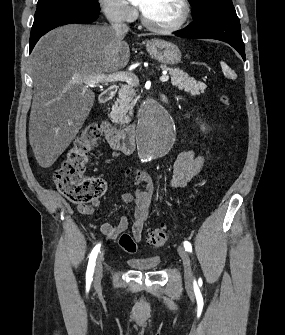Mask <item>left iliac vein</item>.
<instances>
[{
	"instance_id": "4c4485c4",
	"label": "left iliac vein",
	"mask_w": 285,
	"mask_h": 335,
	"mask_svg": "<svg viewBox=\"0 0 285 335\" xmlns=\"http://www.w3.org/2000/svg\"><path fill=\"white\" fill-rule=\"evenodd\" d=\"M178 254L183 262L185 282L187 285H191L193 282V272L189 254L183 246H178Z\"/></svg>"
}]
</instances>
